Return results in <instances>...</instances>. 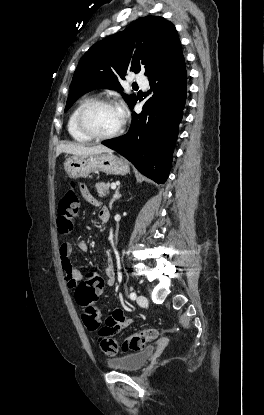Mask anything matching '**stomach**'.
<instances>
[{
    "label": "stomach",
    "instance_id": "obj_1",
    "mask_svg": "<svg viewBox=\"0 0 264 415\" xmlns=\"http://www.w3.org/2000/svg\"><path fill=\"white\" fill-rule=\"evenodd\" d=\"M64 169L69 177L75 179L99 172L107 175H125L129 173V165L113 153L73 155L66 159Z\"/></svg>",
    "mask_w": 264,
    "mask_h": 415
}]
</instances>
